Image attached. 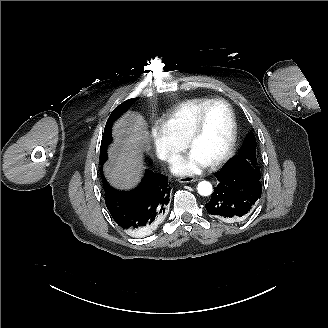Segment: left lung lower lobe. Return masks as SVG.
Wrapping results in <instances>:
<instances>
[{"instance_id": "0a47b994", "label": "left lung lower lobe", "mask_w": 328, "mask_h": 328, "mask_svg": "<svg viewBox=\"0 0 328 328\" xmlns=\"http://www.w3.org/2000/svg\"><path fill=\"white\" fill-rule=\"evenodd\" d=\"M215 176L219 183L205 204L208 213L222 221L247 216L261 197L260 178L253 172L225 167Z\"/></svg>"}]
</instances>
